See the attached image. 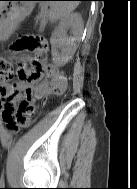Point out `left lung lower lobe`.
Segmentation results:
<instances>
[{"label":"left lung lower lobe","instance_id":"1","mask_svg":"<svg viewBox=\"0 0 137 189\" xmlns=\"http://www.w3.org/2000/svg\"><path fill=\"white\" fill-rule=\"evenodd\" d=\"M79 1H89V0H79Z\"/></svg>","mask_w":137,"mask_h":189}]
</instances>
